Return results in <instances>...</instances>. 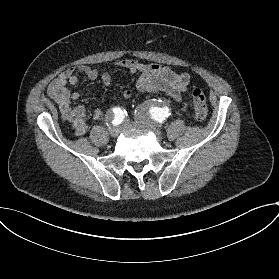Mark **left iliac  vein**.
Returning <instances> with one entry per match:
<instances>
[{
  "label": "left iliac vein",
  "instance_id": "left-iliac-vein-1",
  "mask_svg": "<svg viewBox=\"0 0 279 279\" xmlns=\"http://www.w3.org/2000/svg\"><path fill=\"white\" fill-rule=\"evenodd\" d=\"M143 129L146 131H150L151 133L155 134L156 136H161L162 131L156 125H144Z\"/></svg>",
  "mask_w": 279,
  "mask_h": 279
}]
</instances>
